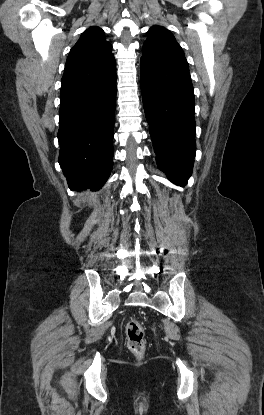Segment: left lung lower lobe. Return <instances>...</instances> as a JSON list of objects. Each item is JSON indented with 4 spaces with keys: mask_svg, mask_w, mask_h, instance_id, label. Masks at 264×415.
I'll return each mask as SVG.
<instances>
[{
    "mask_svg": "<svg viewBox=\"0 0 264 415\" xmlns=\"http://www.w3.org/2000/svg\"><path fill=\"white\" fill-rule=\"evenodd\" d=\"M140 79L158 167L173 183L185 185L196 150L195 101L189 70L141 58Z\"/></svg>",
    "mask_w": 264,
    "mask_h": 415,
    "instance_id": "obj_1",
    "label": "left lung lower lobe"
}]
</instances>
